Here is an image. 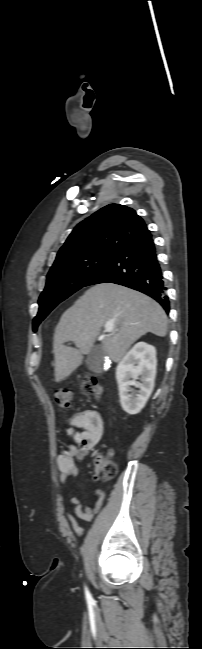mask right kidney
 <instances>
[{
	"label": "right kidney",
	"instance_id": "ca27d5eb",
	"mask_svg": "<svg viewBox=\"0 0 202 649\" xmlns=\"http://www.w3.org/2000/svg\"><path fill=\"white\" fill-rule=\"evenodd\" d=\"M156 366V349L145 342L135 344L119 362L116 380L121 406L128 414H137L145 406L154 388ZM139 376L141 383L135 381ZM132 385L140 388L135 396L130 394Z\"/></svg>",
	"mask_w": 202,
	"mask_h": 649
}]
</instances>
